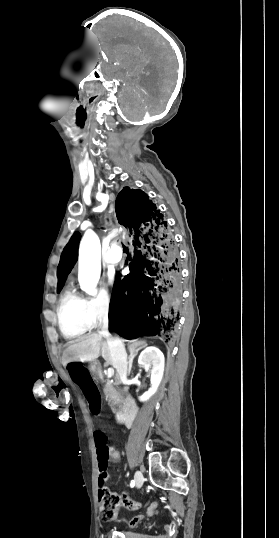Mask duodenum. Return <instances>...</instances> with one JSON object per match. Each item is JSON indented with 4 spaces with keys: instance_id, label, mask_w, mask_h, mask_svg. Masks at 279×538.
<instances>
[{
    "instance_id": "1",
    "label": "duodenum",
    "mask_w": 279,
    "mask_h": 538,
    "mask_svg": "<svg viewBox=\"0 0 279 538\" xmlns=\"http://www.w3.org/2000/svg\"><path fill=\"white\" fill-rule=\"evenodd\" d=\"M92 370L95 374L100 373V368L97 364L92 365ZM119 405L123 409H115L116 418H111V423H114V428L130 429L135 422V410H132L136 406V401L133 400V395H127V401L121 400Z\"/></svg>"
}]
</instances>
